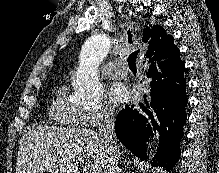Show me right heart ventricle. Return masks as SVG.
I'll use <instances>...</instances> for the list:
<instances>
[{
    "label": "right heart ventricle",
    "instance_id": "right-heart-ventricle-1",
    "mask_svg": "<svg viewBox=\"0 0 219 173\" xmlns=\"http://www.w3.org/2000/svg\"><path fill=\"white\" fill-rule=\"evenodd\" d=\"M49 118L55 124L62 127L72 128L83 126L82 111L71 101L65 86L59 87L56 91L49 108Z\"/></svg>",
    "mask_w": 219,
    "mask_h": 173
}]
</instances>
